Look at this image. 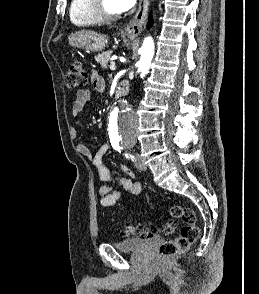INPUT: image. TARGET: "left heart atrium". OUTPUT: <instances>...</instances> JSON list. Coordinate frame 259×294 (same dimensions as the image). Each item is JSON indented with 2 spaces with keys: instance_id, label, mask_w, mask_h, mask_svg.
I'll return each instance as SVG.
<instances>
[{
  "instance_id": "39dd6f15",
  "label": "left heart atrium",
  "mask_w": 259,
  "mask_h": 294,
  "mask_svg": "<svg viewBox=\"0 0 259 294\" xmlns=\"http://www.w3.org/2000/svg\"><path fill=\"white\" fill-rule=\"evenodd\" d=\"M114 1L120 11H127L131 9L136 3V0H114Z\"/></svg>"
}]
</instances>
